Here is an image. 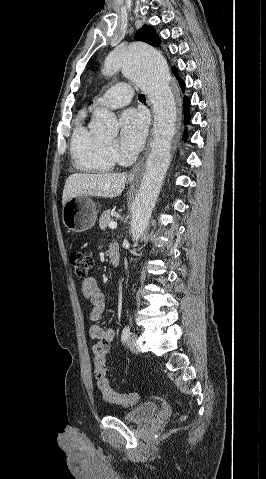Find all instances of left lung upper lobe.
<instances>
[{"instance_id": "5c2ea615", "label": "left lung upper lobe", "mask_w": 266, "mask_h": 479, "mask_svg": "<svg viewBox=\"0 0 266 479\" xmlns=\"http://www.w3.org/2000/svg\"><path fill=\"white\" fill-rule=\"evenodd\" d=\"M135 38L138 41H143L146 42L152 46H159L160 40L158 35L155 33L153 28L149 25H144L142 28H140L136 34Z\"/></svg>"}]
</instances>
